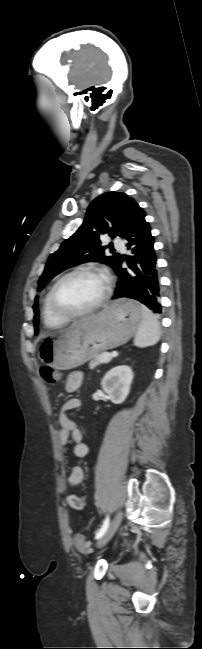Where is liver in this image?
<instances>
[{"instance_id": "obj_1", "label": "liver", "mask_w": 202, "mask_h": 649, "mask_svg": "<svg viewBox=\"0 0 202 649\" xmlns=\"http://www.w3.org/2000/svg\"><path fill=\"white\" fill-rule=\"evenodd\" d=\"M79 322H80V321H78V322H76V323H74L73 325H76V324H78Z\"/></svg>"}]
</instances>
